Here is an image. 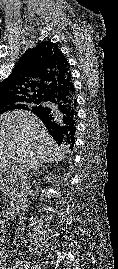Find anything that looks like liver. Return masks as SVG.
Wrapping results in <instances>:
<instances>
[{"mask_svg":"<svg viewBox=\"0 0 118 269\" xmlns=\"http://www.w3.org/2000/svg\"><path fill=\"white\" fill-rule=\"evenodd\" d=\"M63 159L64 150L36 115L24 110L0 115V175L9 166L20 175L43 163Z\"/></svg>","mask_w":118,"mask_h":269,"instance_id":"6515ba94","label":"liver"}]
</instances>
